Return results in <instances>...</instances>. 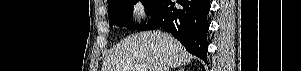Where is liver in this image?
<instances>
[{"label":"liver","instance_id":"1","mask_svg":"<svg viewBox=\"0 0 301 71\" xmlns=\"http://www.w3.org/2000/svg\"><path fill=\"white\" fill-rule=\"evenodd\" d=\"M190 55L180 42L161 31L141 32L124 39L105 57L101 71H138L144 65L148 71H164L165 67L189 64Z\"/></svg>","mask_w":301,"mask_h":71}]
</instances>
